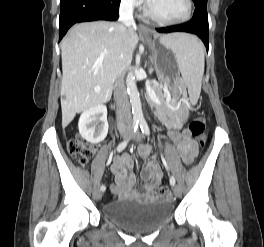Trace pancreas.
<instances>
[{
  "label": "pancreas",
  "mask_w": 264,
  "mask_h": 247,
  "mask_svg": "<svg viewBox=\"0 0 264 247\" xmlns=\"http://www.w3.org/2000/svg\"><path fill=\"white\" fill-rule=\"evenodd\" d=\"M153 88L155 89V91L161 96V90H162V86H156V85H153Z\"/></svg>",
  "instance_id": "cf45deb5"
}]
</instances>
